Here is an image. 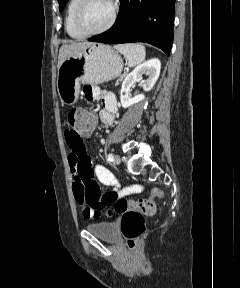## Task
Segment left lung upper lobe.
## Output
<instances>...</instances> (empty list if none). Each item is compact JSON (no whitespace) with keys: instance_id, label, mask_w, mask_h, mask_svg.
I'll use <instances>...</instances> for the list:
<instances>
[{"instance_id":"obj_1","label":"left lung upper lobe","mask_w":240,"mask_h":288,"mask_svg":"<svg viewBox=\"0 0 240 288\" xmlns=\"http://www.w3.org/2000/svg\"><path fill=\"white\" fill-rule=\"evenodd\" d=\"M68 0H58L59 2V9L62 10V8L64 7V5L66 4Z\"/></svg>"}]
</instances>
